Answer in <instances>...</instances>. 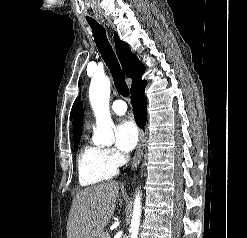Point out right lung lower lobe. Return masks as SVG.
Returning a JSON list of instances; mask_svg holds the SVG:
<instances>
[{
  "mask_svg": "<svg viewBox=\"0 0 247 238\" xmlns=\"http://www.w3.org/2000/svg\"><path fill=\"white\" fill-rule=\"evenodd\" d=\"M146 81L142 82L131 90L132 106L135 110L134 116L141 128L146 124V97L144 95V88Z\"/></svg>",
  "mask_w": 247,
  "mask_h": 238,
  "instance_id": "obj_1",
  "label": "right lung lower lobe"
}]
</instances>
